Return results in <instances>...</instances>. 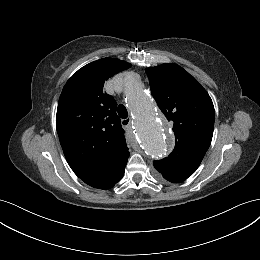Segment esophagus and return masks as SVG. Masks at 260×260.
<instances>
[{
    "label": "esophagus",
    "instance_id": "esophagus-1",
    "mask_svg": "<svg viewBox=\"0 0 260 260\" xmlns=\"http://www.w3.org/2000/svg\"><path fill=\"white\" fill-rule=\"evenodd\" d=\"M131 123V119L130 118H126V119H122L121 120V124L123 127H128Z\"/></svg>",
    "mask_w": 260,
    "mask_h": 260
}]
</instances>
